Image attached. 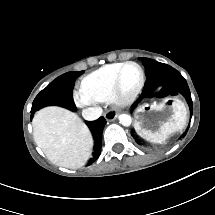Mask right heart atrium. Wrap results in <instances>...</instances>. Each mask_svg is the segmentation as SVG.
Segmentation results:
<instances>
[{
	"label": "right heart atrium",
	"instance_id": "right-heart-atrium-1",
	"mask_svg": "<svg viewBox=\"0 0 215 215\" xmlns=\"http://www.w3.org/2000/svg\"><path fill=\"white\" fill-rule=\"evenodd\" d=\"M75 100H76V104L78 106L81 105V104H83V103H87L85 97L81 96V95H77L76 98H75Z\"/></svg>",
	"mask_w": 215,
	"mask_h": 215
}]
</instances>
